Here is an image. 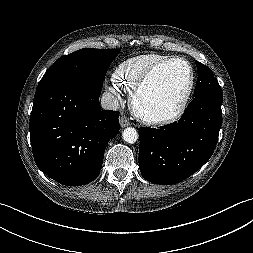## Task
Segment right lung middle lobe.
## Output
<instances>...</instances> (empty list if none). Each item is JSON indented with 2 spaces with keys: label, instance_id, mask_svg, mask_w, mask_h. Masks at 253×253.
<instances>
[{
  "label": "right lung middle lobe",
  "instance_id": "dd1d6c3e",
  "mask_svg": "<svg viewBox=\"0 0 253 253\" xmlns=\"http://www.w3.org/2000/svg\"><path fill=\"white\" fill-rule=\"evenodd\" d=\"M118 49H80L59 58L45 73L39 84L59 78L102 83Z\"/></svg>",
  "mask_w": 253,
  "mask_h": 253
}]
</instances>
